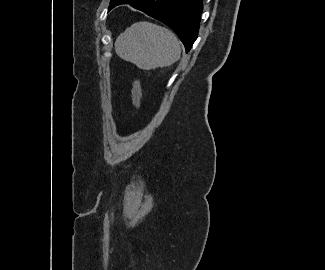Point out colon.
<instances>
[{
    "label": "colon",
    "mask_w": 325,
    "mask_h": 270,
    "mask_svg": "<svg viewBox=\"0 0 325 270\" xmlns=\"http://www.w3.org/2000/svg\"><path fill=\"white\" fill-rule=\"evenodd\" d=\"M132 102L136 109H140L142 100V89L138 79H134L132 84Z\"/></svg>",
    "instance_id": "colon-1"
}]
</instances>
